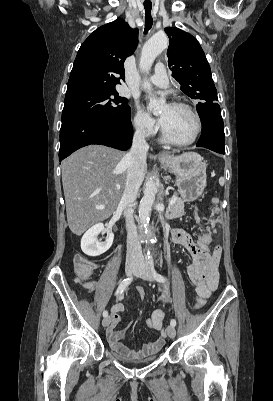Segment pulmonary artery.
Returning <instances> with one entry per match:
<instances>
[{
  "label": "pulmonary artery",
  "instance_id": "obj_1",
  "mask_svg": "<svg viewBox=\"0 0 273 401\" xmlns=\"http://www.w3.org/2000/svg\"><path fill=\"white\" fill-rule=\"evenodd\" d=\"M152 76V81L157 83L158 88L164 89L169 86L168 80L169 77L167 75V71L165 70V66L162 63H157L155 65V71Z\"/></svg>",
  "mask_w": 273,
  "mask_h": 401
}]
</instances>
